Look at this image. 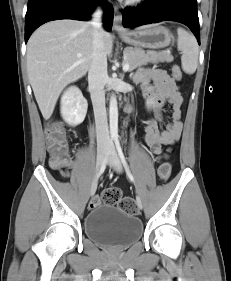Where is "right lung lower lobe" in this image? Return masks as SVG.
<instances>
[{
    "mask_svg": "<svg viewBox=\"0 0 231 281\" xmlns=\"http://www.w3.org/2000/svg\"><path fill=\"white\" fill-rule=\"evenodd\" d=\"M102 0H28L25 16V42L42 24L59 19L88 20L95 6ZM113 9L104 4V25L110 31Z\"/></svg>",
    "mask_w": 231,
    "mask_h": 281,
    "instance_id": "98d812e1",
    "label": "right lung lower lobe"
}]
</instances>
